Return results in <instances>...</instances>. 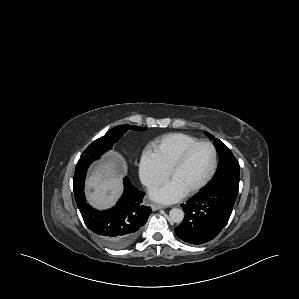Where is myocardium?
<instances>
[{"label": "myocardium", "mask_w": 299, "mask_h": 299, "mask_svg": "<svg viewBox=\"0 0 299 299\" xmlns=\"http://www.w3.org/2000/svg\"><path fill=\"white\" fill-rule=\"evenodd\" d=\"M201 145H208L211 147L213 151V165L209 174L200 183L187 190L186 194H193L198 192L203 187H205L214 177L218 167V151L216 146L211 141L208 140L198 141L192 144L191 146H189L184 150V152L180 155V157L175 161V163L172 165V167L169 170V177L172 179L175 172L178 171L186 163L191 153Z\"/></svg>", "instance_id": "obj_1"}]
</instances>
